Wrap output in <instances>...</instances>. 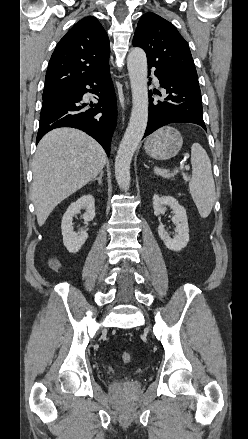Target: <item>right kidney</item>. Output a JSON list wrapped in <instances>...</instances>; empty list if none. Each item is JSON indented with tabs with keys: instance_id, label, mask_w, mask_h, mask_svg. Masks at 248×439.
<instances>
[{
	"instance_id": "obj_1",
	"label": "right kidney",
	"mask_w": 248,
	"mask_h": 439,
	"mask_svg": "<svg viewBox=\"0 0 248 439\" xmlns=\"http://www.w3.org/2000/svg\"><path fill=\"white\" fill-rule=\"evenodd\" d=\"M85 209L83 219L85 222L92 221L95 217V200L92 195H84L73 202L62 217L61 230L63 244L70 253L78 252L88 238L87 230L75 233L73 229V217Z\"/></svg>"
}]
</instances>
